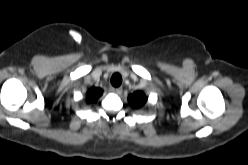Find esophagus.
I'll return each instance as SVG.
<instances>
[{
  "mask_svg": "<svg viewBox=\"0 0 248 165\" xmlns=\"http://www.w3.org/2000/svg\"><path fill=\"white\" fill-rule=\"evenodd\" d=\"M122 91H123L122 87H118V88L114 89V92L117 95H121L122 94Z\"/></svg>",
  "mask_w": 248,
  "mask_h": 165,
  "instance_id": "obj_1",
  "label": "esophagus"
}]
</instances>
